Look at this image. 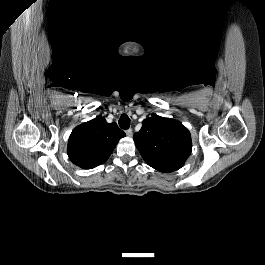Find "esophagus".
I'll use <instances>...</instances> for the list:
<instances>
[{
    "instance_id": "esophagus-1",
    "label": "esophagus",
    "mask_w": 265,
    "mask_h": 265,
    "mask_svg": "<svg viewBox=\"0 0 265 265\" xmlns=\"http://www.w3.org/2000/svg\"><path fill=\"white\" fill-rule=\"evenodd\" d=\"M132 134H133V130H132L131 128H129V129L126 130V135H127L128 137H131Z\"/></svg>"
}]
</instances>
